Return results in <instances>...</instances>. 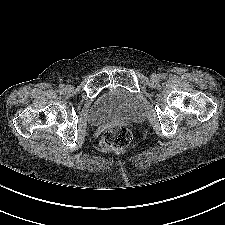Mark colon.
<instances>
[{"label": "colon", "instance_id": "colon-1", "mask_svg": "<svg viewBox=\"0 0 225 225\" xmlns=\"http://www.w3.org/2000/svg\"><path fill=\"white\" fill-rule=\"evenodd\" d=\"M132 140V133L127 127L114 126L102 134L99 145L104 151L120 150L130 145Z\"/></svg>", "mask_w": 225, "mask_h": 225}]
</instances>
